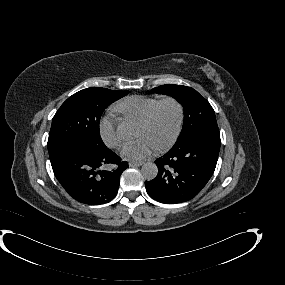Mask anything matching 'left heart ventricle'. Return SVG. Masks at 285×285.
<instances>
[{
	"instance_id": "obj_1",
	"label": "left heart ventricle",
	"mask_w": 285,
	"mask_h": 285,
	"mask_svg": "<svg viewBox=\"0 0 285 285\" xmlns=\"http://www.w3.org/2000/svg\"><path fill=\"white\" fill-rule=\"evenodd\" d=\"M177 118V108L173 104L165 105L160 112L158 121L149 130H141V134L156 144L165 140L172 131Z\"/></svg>"
}]
</instances>
